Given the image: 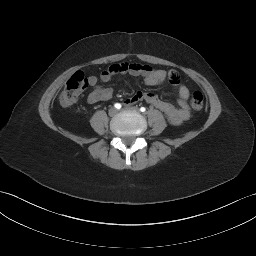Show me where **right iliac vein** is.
Segmentation results:
<instances>
[{
	"label": "right iliac vein",
	"instance_id": "1",
	"mask_svg": "<svg viewBox=\"0 0 256 256\" xmlns=\"http://www.w3.org/2000/svg\"><path fill=\"white\" fill-rule=\"evenodd\" d=\"M117 113H118V110L116 109V108H111L110 110H109V115L110 116H116L117 115Z\"/></svg>",
	"mask_w": 256,
	"mask_h": 256
}]
</instances>
